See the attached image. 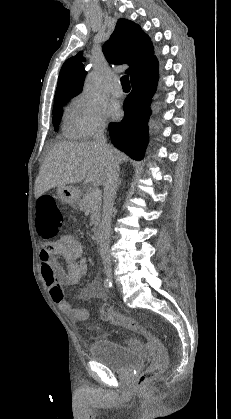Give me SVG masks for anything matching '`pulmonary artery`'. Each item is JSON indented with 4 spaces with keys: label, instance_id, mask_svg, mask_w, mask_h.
<instances>
[{
    "label": "pulmonary artery",
    "instance_id": "e3ab8cb5",
    "mask_svg": "<svg viewBox=\"0 0 231 419\" xmlns=\"http://www.w3.org/2000/svg\"><path fill=\"white\" fill-rule=\"evenodd\" d=\"M110 93L115 96V97H120L123 94V89L120 86V84L118 83V81H114L111 85H110Z\"/></svg>",
    "mask_w": 231,
    "mask_h": 419
}]
</instances>
